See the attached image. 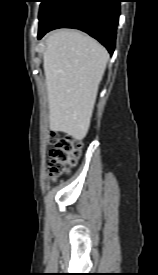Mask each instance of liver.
<instances>
[{
	"instance_id": "1",
	"label": "liver",
	"mask_w": 158,
	"mask_h": 275,
	"mask_svg": "<svg viewBox=\"0 0 158 275\" xmlns=\"http://www.w3.org/2000/svg\"><path fill=\"white\" fill-rule=\"evenodd\" d=\"M45 45L50 129L82 140L90 127L109 54L98 41L74 30L48 34Z\"/></svg>"
}]
</instances>
